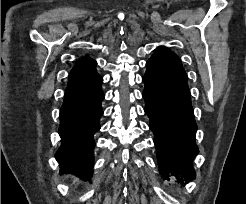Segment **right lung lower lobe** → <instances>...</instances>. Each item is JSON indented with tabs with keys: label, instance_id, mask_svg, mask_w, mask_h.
<instances>
[{
	"label": "right lung lower lobe",
	"instance_id": "obj_1",
	"mask_svg": "<svg viewBox=\"0 0 246 204\" xmlns=\"http://www.w3.org/2000/svg\"><path fill=\"white\" fill-rule=\"evenodd\" d=\"M93 59L79 60L69 75L60 111L61 146L56 152L62 173L90 179L93 172V135L103 115L102 77Z\"/></svg>",
	"mask_w": 246,
	"mask_h": 204
}]
</instances>
